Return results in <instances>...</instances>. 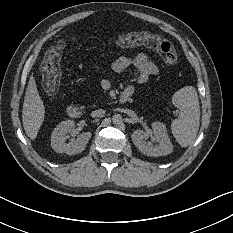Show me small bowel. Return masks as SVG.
Listing matches in <instances>:
<instances>
[{"label": "small bowel", "mask_w": 233, "mask_h": 233, "mask_svg": "<svg viewBox=\"0 0 233 233\" xmlns=\"http://www.w3.org/2000/svg\"><path fill=\"white\" fill-rule=\"evenodd\" d=\"M131 65L137 72L135 81L138 84L146 83L151 75L158 73V67L153 62L149 61L145 54H139L133 60L126 56H120L112 62L111 68L115 73H122ZM102 83L105 88H109V83L107 81H103ZM134 92L135 86L131 83L126 84L121 92V100H130Z\"/></svg>", "instance_id": "obj_1"}]
</instances>
